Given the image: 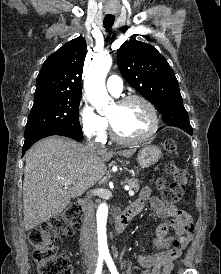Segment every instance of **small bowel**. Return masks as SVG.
Listing matches in <instances>:
<instances>
[{
    "instance_id": "1",
    "label": "small bowel",
    "mask_w": 221,
    "mask_h": 274,
    "mask_svg": "<svg viewBox=\"0 0 221 274\" xmlns=\"http://www.w3.org/2000/svg\"><path fill=\"white\" fill-rule=\"evenodd\" d=\"M146 202H149L157 215L163 219L152 240L153 246L161 251L153 254H140L137 258L138 263L144 268L142 274H170L174 261L191 240L193 224L183 210L175 205L165 204L159 197L152 194L149 187L141 191L133 206L139 213ZM170 231H174L175 237H169ZM174 240L180 242L179 247L172 248Z\"/></svg>"
}]
</instances>
